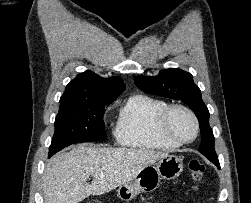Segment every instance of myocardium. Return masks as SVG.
<instances>
[{
  "label": "myocardium",
  "instance_id": "myocardium-1",
  "mask_svg": "<svg viewBox=\"0 0 251 203\" xmlns=\"http://www.w3.org/2000/svg\"><path fill=\"white\" fill-rule=\"evenodd\" d=\"M180 109L185 111L193 120L194 125H195V132L193 136L190 139H180L176 137L169 128V121L171 114L173 113L174 110ZM157 129L159 134L165 138L166 140L173 142L177 145H185L192 143L199 135L200 132V123L197 115L194 113L192 109L189 107L183 105V104H171L168 105L159 115L158 121H157Z\"/></svg>",
  "mask_w": 251,
  "mask_h": 203
}]
</instances>
